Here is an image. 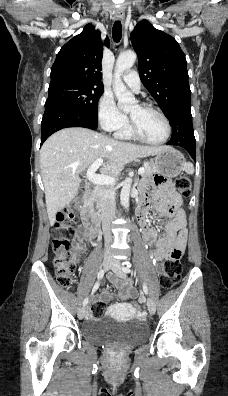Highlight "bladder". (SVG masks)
Wrapping results in <instances>:
<instances>
[{"mask_svg":"<svg viewBox=\"0 0 228 396\" xmlns=\"http://www.w3.org/2000/svg\"><path fill=\"white\" fill-rule=\"evenodd\" d=\"M83 339L96 345H132L148 337V328L139 320L119 322L111 318H90L82 326Z\"/></svg>","mask_w":228,"mask_h":396,"instance_id":"obj_1","label":"bladder"}]
</instances>
